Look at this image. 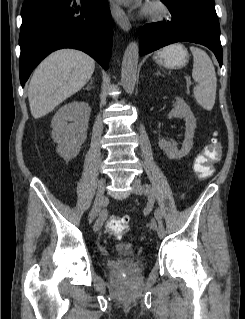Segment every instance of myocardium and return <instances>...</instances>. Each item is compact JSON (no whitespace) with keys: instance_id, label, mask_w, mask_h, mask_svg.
<instances>
[{"instance_id":"f54148a6","label":"myocardium","mask_w":245,"mask_h":319,"mask_svg":"<svg viewBox=\"0 0 245 319\" xmlns=\"http://www.w3.org/2000/svg\"><path fill=\"white\" fill-rule=\"evenodd\" d=\"M144 16L150 22H161L169 16V9L162 1L153 0L145 7Z\"/></svg>"}]
</instances>
